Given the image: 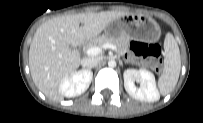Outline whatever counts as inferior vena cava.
Wrapping results in <instances>:
<instances>
[{
  "mask_svg": "<svg viewBox=\"0 0 203 123\" xmlns=\"http://www.w3.org/2000/svg\"><path fill=\"white\" fill-rule=\"evenodd\" d=\"M99 60V58L86 57L82 59L81 65L84 68L91 69L98 64Z\"/></svg>",
  "mask_w": 203,
  "mask_h": 123,
  "instance_id": "inferior-vena-cava-1",
  "label": "inferior vena cava"
}]
</instances>
